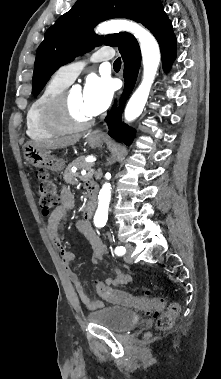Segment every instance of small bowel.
<instances>
[{
	"instance_id": "obj_1",
	"label": "small bowel",
	"mask_w": 221,
	"mask_h": 379,
	"mask_svg": "<svg viewBox=\"0 0 221 379\" xmlns=\"http://www.w3.org/2000/svg\"><path fill=\"white\" fill-rule=\"evenodd\" d=\"M74 203L75 200L71 191L63 188L60 194V205L49 217L46 225V231L49 239L60 252L62 265L69 280L73 283L79 299L87 308L96 309L102 306V302L91 300L90 297L86 294L78 275L71 269V264L75 259L74 254L63 246L59 236L60 225L68 211L74 207ZM76 227L86 237L93 249L91 258L92 263H97L107 253L105 244L94 231L86 216L84 219L77 222ZM131 280L132 278L130 275L125 274L120 269H115L114 277L108 278L105 284L117 286L128 284L131 282Z\"/></svg>"
}]
</instances>
